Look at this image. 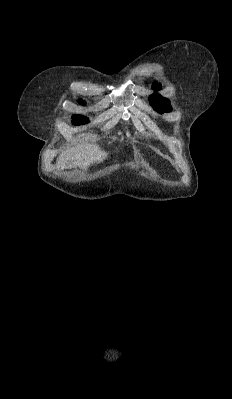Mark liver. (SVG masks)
Wrapping results in <instances>:
<instances>
[{"label":"liver","mask_w":232,"mask_h":399,"mask_svg":"<svg viewBox=\"0 0 232 399\" xmlns=\"http://www.w3.org/2000/svg\"><path fill=\"white\" fill-rule=\"evenodd\" d=\"M107 154L102 152L98 144H77L75 148H70V150H65L60 154L57 160L58 168H81V170H86L91 164H99L105 160Z\"/></svg>","instance_id":"obj_1"}]
</instances>
